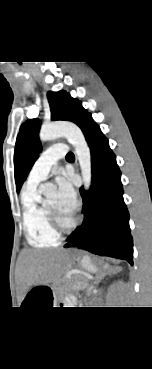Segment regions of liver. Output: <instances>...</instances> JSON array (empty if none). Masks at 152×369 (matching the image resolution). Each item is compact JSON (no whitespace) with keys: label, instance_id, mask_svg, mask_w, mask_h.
I'll return each mask as SVG.
<instances>
[{"label":"liver","instance_id":"1","mask_svg":"<svg viewBox=\"0 0 152 369\" xmlns=\"http://www.w3.org/2000/svg\"><path fill=\"white\" fill-rule=\"evenodd\" d=\"M67 263L64 250L24 249L19 256V276L24 286L50 282L60 277Z\"/></svg>","mask_w":152,"mask_h":369}]
</instances>
